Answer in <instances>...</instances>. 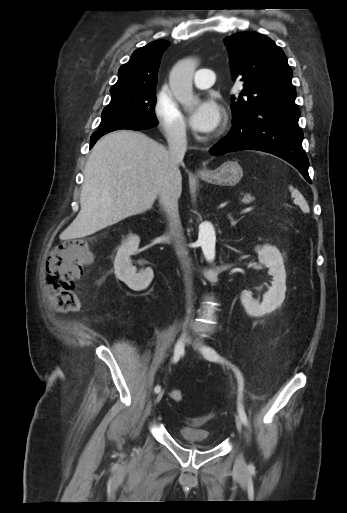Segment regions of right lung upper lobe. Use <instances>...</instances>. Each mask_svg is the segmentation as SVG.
<instances>
[{"label":"right lung upper lobe","instance_id":"1","mask_svg":"<svg viewBox=\"0 0 347 513\" xmlns=\"http://www.w3.org/2000/svg\"><path fill=\"white\" fill-rule=\"evenodd\" d=\"M169 45L167 40H156L135 50L130 60L120 67L118 81L110 92L156 87L160 60Z\"/></svg>","mask_w":347,"mask_h":513}]
</instances>
